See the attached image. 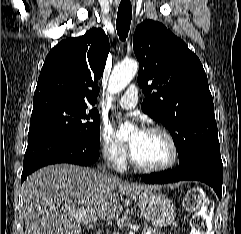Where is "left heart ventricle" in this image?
Masks as SVG:
<instances>
[{"instance_id":"1","label":"left heart ventricle","mask_w":241,"mask_h":234,"mask_svg":"<svg viewBox=\"0 0 241 234\" xmlns=\"http://www.w3.org/2000/svg\"><path fill=\"white\" fill-rule=\"evenodd\" d=\"M129 145L137 161L145 166H162L171 158L170 146L159 133L136 131L130 137Z\"/></svg>"}]
</instances>
